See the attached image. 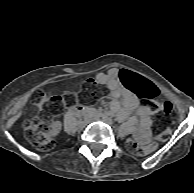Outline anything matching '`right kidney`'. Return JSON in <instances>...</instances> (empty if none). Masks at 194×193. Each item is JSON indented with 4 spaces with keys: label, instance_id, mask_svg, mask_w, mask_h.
I'll return each instance as SVG.
<instances>
[{
    "label": "right kidney",
    "instance_id": "right-kidney-1",
    "mask_svg": "<svg viewBox=\"0 0 194 193\" xmlns=\"http://www.w3.org/2000/svg\"><path fill=\"white\" fill-rule=\"evenodd\" d=\"M59 129H60L59 125L56 124V125L54 126V134H57L58 131H59Z\"/></svg>",
    "mask_w": 194,
    "mask_h": 193
}]
</instances>
